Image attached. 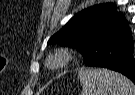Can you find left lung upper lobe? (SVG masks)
Instances as JSON below:
<instances>
[{"instance_id": "obj_1", "label": "left lung upper lobe", "mask_w": 135, "mask_h": 95, "mask_svg": "<svg viewBox=\"0 0 135 95\" xmlns=\"http://www.w3.org/2000/svg\"><path fill=\"white\" fill-rule=\"evenodd\" d=\"M128 27L123 13L115 10L112 3L94 5L74 15L55 33L48 44H59L78 49L86 61L100 42L108 35Z\"/></svg>"}]
</instances>
